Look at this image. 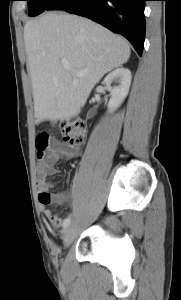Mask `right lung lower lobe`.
Masks as SVG:
<instances>
[{"instance_id": "right-lung-lower-lobe-1", "label": "right lung lower lobe", "mask_w": 181, "mask_h": 300, "mask_svg": "<svg viewBox=\"0 0 181 300\" xmlns=\"http://www.w3.org/2000/svg\"><path fill=\"white\" fill-rule=\"evenodd\" d=\"M147 0H59L51 10L92 19L126 37L141 56L145 39Z\"/></svg>"}]
</instances>
